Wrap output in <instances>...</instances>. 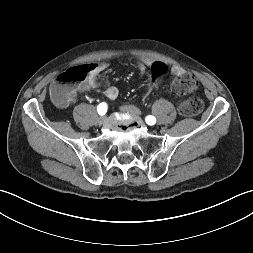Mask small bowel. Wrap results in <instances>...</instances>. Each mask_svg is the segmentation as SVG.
I'll use <instances>...</instances> for the list:
<instances>
[{
  "mask_svg": "<svg viewBox=\"0 0 253 253\" xmlns=\"http://www.w3.org/2000/svg\"><path fill=\"white\" fill-rule=\"evenodd\" d=\"M154 62V60L150 59H140L138 62V70L140 75H144L146 72L147 67L151 68V63ZM108 68L107 63H98L94 64L92 66V72L86 82L80 83L76 87V91L78 92H86L88 90L94 89L96 87V78L97 75L103 71H105ZM184 72V70L179 67V66H173L171 68V73L177 77L181 75ZM119 91L116 87L114 86H109L108 88L105 89L104 95L107 99L109 100H115L118 97Z\"/></svg>",
  "mask_w": 253,
  "mask_h": 253,
  "instance_id": "c3829d8e",
  "label": "small bowel"
}]
</instances>
